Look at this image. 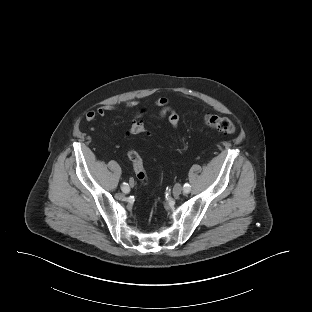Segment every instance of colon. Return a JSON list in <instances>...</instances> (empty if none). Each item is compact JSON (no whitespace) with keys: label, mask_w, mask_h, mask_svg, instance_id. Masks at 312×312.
<instances>
[{"label":"colon","mask_w":312,"mask_h":312,"mask_svg":"<svg viewBox=\"0 0 312 312\" xmlns=\"http://www.w3.org/2000/svg\"><path fill=\"white\" fill-rule=\"evenodd\" d=\"M204 124L217 132L223 134H232L235 130L233 122L227 117H221L216 115H206L204 117ZM146 131L145 126L141 122H134L130 129L129 134L131 135H139ZM128 158L132 162L134 172L136 177L142 183H146L148 181V176L144 168L143 160L141 156L135 151L130 150L128 152Z\"/></svg>","instance_id":"5ec220e1"}]
</instances>
